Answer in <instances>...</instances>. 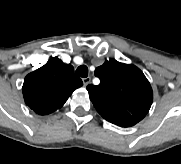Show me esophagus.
Returning <instances> with one entry per match:
<instances>
[{"instance_id":"esophagus-1","label":"esophagus","mask_w":181,"mask_h":164,"mask_svg":"<svg viewBox=\"0 0 181 164\" xmlns=\"http://www.w3.org/2000/svg\"><path fill=\"white\" fill-rule=\"evenodd\" d=\"M90 82H91V78L90 77L83 78L84 86H87L88 84H90Z\"/></svg>"}]
</instances>
